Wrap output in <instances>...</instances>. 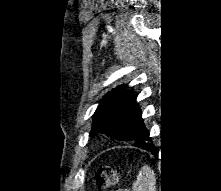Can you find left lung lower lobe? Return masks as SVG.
<instances>
[{"label":"left lung lower lobe","mask_w":221,"mask_h":191,"mask_svg":"<svg viewBox=\"0 0 221 191\" xmlns=\"http://www.w3.org/2000/svg\"><path fill=\"white\" fill-rule=\"evenodd\" d=\"M136 93L133 92L132 97H131V111H132V118L133 121L136 123L137 127L141 126L143 129V135L144 136H149L148 130L144 126L143 119L141 118V111L138 108V105L136 104ZM143 149L149 150V151H154L153 144L150 143V146L146 145Z\"/></svg>","instance_id":"obj_1"}]
</instances>
